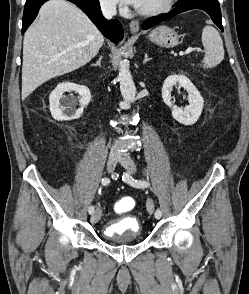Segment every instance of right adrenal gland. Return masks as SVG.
I'll return each instance as SVG.
<instances>
[{
	"instance_id": "right-adrenal-gland-1",
	"label": "right adrenal gland",
	"mask_w": 249,
	"mask_h": 294,
	"mask_svg": "<svg viewBox=\"0 0 249 294\" xmlns=\"http://www.w3.org/2000/svg\"><path fill=\"white\" fill-rule=\"evenodd\" d=\"M103 56L101 55L98 59V61L95 64H92V66H99L101 67V61H102Z\"/></svg>"
}]
</instances>
